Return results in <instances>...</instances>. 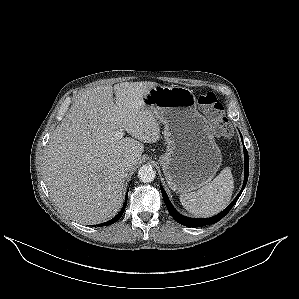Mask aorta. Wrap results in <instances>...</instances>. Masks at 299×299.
Listing matches in <instances>:
<instances>
[{"instance_id":"obj_1","label":"aorta","mask_w":299,"mask_h":299,"mask_svg":"<svg viewBox=\"0 0 299 299\" xmlns=\"http://www.w3.org/2000/svg\"><path fill=\"white\" fill-rule=\"evenodd\" d=\"M155 171L151 165H143L138 170V177L144 183L152 182L155 179Z\"/></svg>"}]
</instances>
